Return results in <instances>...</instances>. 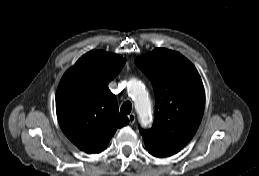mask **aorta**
Listing matches in <instances>:
<instances>
[{"label": "aorta", "mask_w": 259, "mask_h": 176, "mask_svg": "<svg viewBox=\"0 0 259 176\" xmlns=\"http://www.w3.org/2000/svg\"><path fill=\"white\" fill-rule=\"evenodd\" d=\"M130 92L134 98L135 108L139 114L142 125L147 126L150 123L151 116V100L144 87L138 80H132Z\"/></svg>", "instance_id": "obj_1"}]
</instances>
